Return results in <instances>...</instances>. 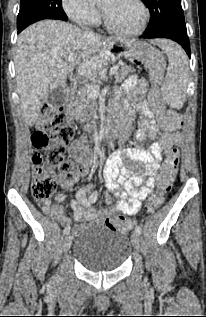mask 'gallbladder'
Segmentation results:
<instances>
[{
    "label": "gallbladder",
    "instance_id": "bac80fb5",
    "mask_svg": "<svg viewBox=\"0 0 206 317\" xmlns=\"http://www.w3.org/2000/svg\"><path fill=\"white\" fill-rule=\"evenodd\" d=\"M51 108L60 107L65 101V86H61L52 90L45 99Z\"/></svg>",
    "mask_w": 206,
    "mask_h": 317
}]
</instances>
